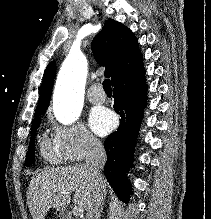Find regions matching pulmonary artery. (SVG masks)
<instances>
[{
	"instance_id": "1",
	"label": "pulmonary artery",
	"mask_w": 211,
	"mask_h": 219,
	"mask_svg": "<svg viewBox=\"0 0 211 219\" xmlns=\"http://www.w3.org/2000/svg\"><path fill=\"white\" fill-rule=\"evenodd\" d=\"M99 84L93 85L88 92V99L93 104H102L106 100V94L99 91Z\"/></svg>"
}]
</instances>
